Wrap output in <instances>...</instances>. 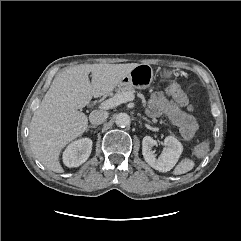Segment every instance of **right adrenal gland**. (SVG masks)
<instances>
[{
  "label": "right adrenal gland",
  "instance_id": "obj_1",
  "mask_svg": "<svg viewBox=\"0 0 241 241\" xmlns=\"http://www.w3.org/2000/svg\"><path fill=\"white\" fill-rule=\"evenodd\" d=\"M97 126L96 125H90L87 127L86 131H88L89 129H95Z\"/></svg>",
  "mask_w": 241,
  "mask_h": 241
}]
</instances>
